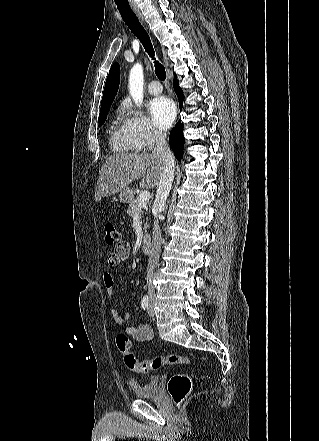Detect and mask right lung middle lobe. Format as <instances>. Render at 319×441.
Segmentation results:
<instances>
[{
  "label": "right lung middle lobe",
  "mask_w": 319,
  "mask_h": 441,
  "mask_svg": "<svg viewBox=\"0 0 319 441\" xmlns=\"http://www.w3.org/2000/svg\"><path fill=\"white\" fill-rule=\"evenodd\" d=\"M110 107H106L100 110V115H99V125H103L106 117H107V112L109 110Z\"/></svg>",
  "instance_id": "obj_1"
}]
</instances>
